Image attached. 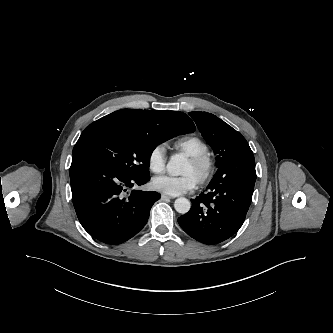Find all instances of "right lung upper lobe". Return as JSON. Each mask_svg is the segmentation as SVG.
Masks as SVG:
<instances>
[{
	"label": "right lung upper lobe",
	"instance_id": "1",
	"mask_svg": "<svg viewBox=\"0 0 333 333\" xmlns=\"http://www.w3.org/2000/svg\"><path fill=\"white\" fill-rule=\"evenodd\" d=\"M124 126L148 134H184L195 130L192 120L184 113L161 110L122 109L93 122L90 126Z\"/></svg>",
	"mask_w": 333,
	"mask_h": 333
}]
</instances>
